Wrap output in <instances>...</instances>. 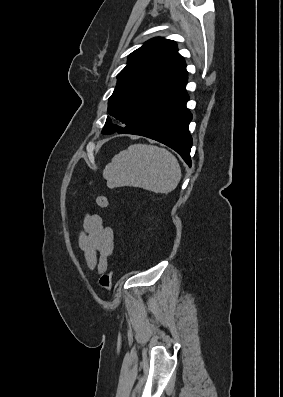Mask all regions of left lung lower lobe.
Listing matches in <instances>:
<instances>
[{
  "mask_svg": "<svg viewBox=\"0 0 283 397\" xmlns=\"http://www.w3.org/2000/svg\"><path fill=\"white\" fill-rule=\"evenodd\" d=\"M188 100L184 86L146 110L118 133L141 135L159 141L175 150L191 166L193 141L188 126L192 114L186 107Z\"/></svg>",
  "mask_w": 283,
  "mask_h": 397,
  "instance_id": "left-lung-lower-lobe-1",
  "label": "left lung lower lobe"
}]
</instances>
